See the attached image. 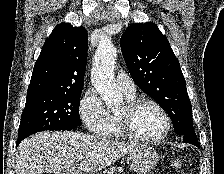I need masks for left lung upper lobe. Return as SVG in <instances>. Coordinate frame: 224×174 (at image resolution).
Instances as JSON below:
<instances>
[{
	"mask_svg": "<svg viewBox=\"0 0 224 174\" xmlns=\"http://www.w3.org/2000/svg\"><path fill=\"white\" fill-rule=\"evenodd\" d=\"M120 45L134 82L168 113L175 132L196 136L180 64L158 27L151 22L131 25Z\"/></svg>",
	"mask_w": 224,
	"mask_h": 174,
	"instance_id": "obj_1",
	"label": "left lung upper lobe"
}]
</instances>
